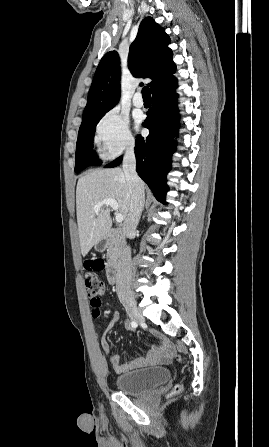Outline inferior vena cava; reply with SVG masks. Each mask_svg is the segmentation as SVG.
Masks as SVG:
<instances>
[{
    "instance_id": "602c4592",
    "label": "inferior vena cava",
    "mask_w": 269,
    "mask_h": 447,
    "mask_svg": "<svg viewBox=\"0 0 269 447\" xmlns=\"http://www.w3.org/2000/svg\"><path fill=\"white\" fill-rule=\"evenodd\" d=\"M134 148V144L128 146L123 158V174L126 178L130 194L129 214L123 224V233H125V235H133V233H135L145 202L143 182L142 180H140L139 176H137L136 172V158ZM131 277V247L130 245H127V247L123 249L122 255L117 265V293H120V295H127V293H131Z\"/></svg>"
}]
</instances>
